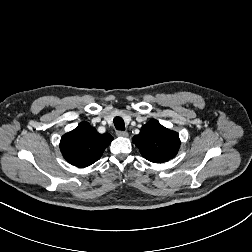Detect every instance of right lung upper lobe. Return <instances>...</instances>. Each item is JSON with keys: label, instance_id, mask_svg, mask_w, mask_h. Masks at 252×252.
<instances>
[{"label": "right lung upper lobe", "instance_id": "obj_1", "mask_svg": "<svg viewBox=\"0 0 252 252\" xmlns=\"http://www.w3.org/2000/svg\"><path fill=\"white\" fill-rule=\"evenodd\" d=\"M113 137L109 133L100 134L88 122L62 136L60 150L67 162L84 168L100 159Z\"/></svg>", "mask_w": 252, "mask_h": 252}]
</instances>
